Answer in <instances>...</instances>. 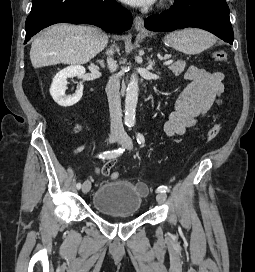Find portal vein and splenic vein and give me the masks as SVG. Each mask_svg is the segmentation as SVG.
Returning a JSON list of instances; mask_svg holds the SVG:
<instances>
[{
	"instance_id": "portal-vein-and-splenic-vein-1",
	"label": "portal vein and splenic vein",
	"mask_w": 255,
	"mask_h": 272,
	"mask_svg": "<svg viewBox=\"0 0 255 272\" xmlns=\"http://www.w3.org/2000/svg\"><path fill=\"white\" fill-rule=\"evenodd\" d=\"M172 62H173V60H167V61L164 62V65H169V64H171Z\"/></svg>"
}]
</instances>
